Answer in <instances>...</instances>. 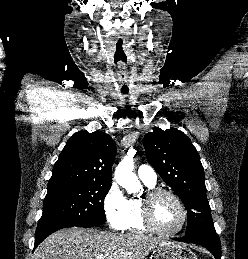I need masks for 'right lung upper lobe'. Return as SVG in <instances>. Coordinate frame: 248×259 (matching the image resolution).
I'll return each mask as SVG.
<instances>
[{
    "label": "right lung upper lobe",
    "mask_w": 248,
    "mask_h": 259,
    "mask_svg": "<svg viewBox=\"0 0 248 259\" xmlns=\"http://www.w3.org/2000/svg\"><path fill=\"white\" fill-rule=\"evenodd\" d=\"M115 155L116 146L111 136L101 131H79L67 141L48 185L111 184Z\"/></svg>",
    "instance_id": "right-lung-upper-lobe-1"
}]
</instances>
